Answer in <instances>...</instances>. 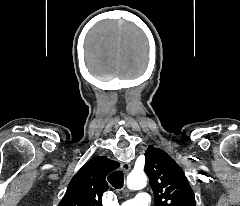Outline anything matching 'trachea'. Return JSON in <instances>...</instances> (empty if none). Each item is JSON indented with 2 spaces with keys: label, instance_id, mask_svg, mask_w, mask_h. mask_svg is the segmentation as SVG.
Here are the masks:
<instances>
[{
  "label": "trachea",
  "instance_id": "obj_1",
  "mask_svg": "<svg viewBox=\"0 0 240 206\" xmlns=\"http://www.w3.org/2000/svg\"><path fill=\"white\" fill-rule=\"evenodd\" d=\"M108 182L116 189H121L124 184V174L122 171H115L108 176Z\"/></svg>",
  "mask_w": 240,
  "mask_h": 206
}]
</instances>
